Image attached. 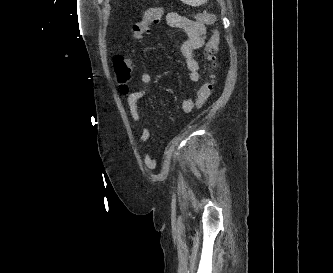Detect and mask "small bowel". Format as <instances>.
Masks as SVG:
<instances>
[{
    "label": "small bowel",
    "mask_w": 333,
    "mask_h": 273,
    "mask_svg": "<svg viewBox=\"0 0 333 273\" xmlns=\"http://www.w3.org/2000/svg\"><path fill=\"white\" fill-rule=\"evenodd\" d=\"M160 18H162L168 26L183 31V39L179 44L180 52L189 71L190 81L195 83L198 82L201 78V66L197 60L196 52L205 42V24L191 20L178 14L177 12L167 10L163 11L162 9ZM152 81V72L148 69H145L141 72L140 75L141 87L136 91L126 94L127 105L131 118L140 126V143L145 142L149 138V130L143 123L142 117L139 113L138 102L147 94L148 86L152 83ZM194 106L195 100L192 96L182 99L180 103V109L183 112L192 111ZM144 162L149 169H153L155 167V161L149 153L144 155Z\"/></svg>",
    "instance_id": "1"
}]
</instances>
